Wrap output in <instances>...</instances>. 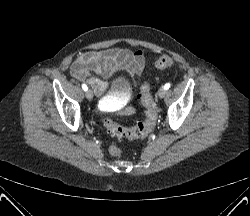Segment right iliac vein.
Wrapping results in <instances>:
<instances>
[{
  "label": "right iliac vein",
  "instance_id": "63e3f726",
  "mask_svg": "<svg viewBox=\"0 0 250 216\" xmlns=\"http://www.w3.org/2000/svg\"><path fill=\"white\" fill-rule=\"evenodd\" d=\"M86 98L88 100H92L93 99V92L91 90H87L86 91Z\"/></svg>",
  "mask_w": 250,
  "mask_h": 216
}]
</instances>
